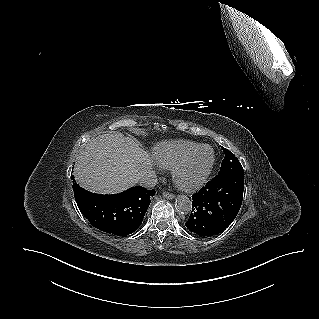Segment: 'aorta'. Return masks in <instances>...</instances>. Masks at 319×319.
I'll return each mask as SVG.
<instances>
[{"instance_id":"1","label":"aorta","mask_w":319,"mask_h":319,"mask_svg":"<svg viewBox=\"0 0 319 319\" xmlns=\"http://www.w3.org/2000/svg\"><path fill=\"white\" fill-rule=\"evenodd\" d=\"M175 208L182 214H188L192 208L191 200L185 195H179L176 198Z\"/></svg>"}]
</instances>
